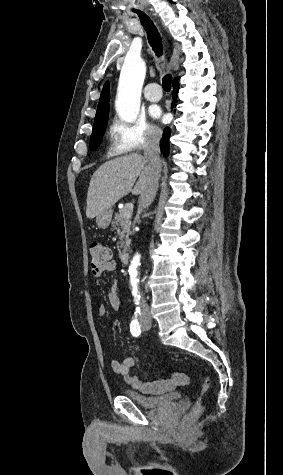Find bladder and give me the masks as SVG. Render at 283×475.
Returning <instances> with one entry per match:
<instances>
[{
    "instance_id": "obj_1",
    "label": "bladder",
    "mask_w": 283,
    "mask_h": 475,
    "mask_svg": "<svg viewBox=\"0 0 283 475\" xmlns=\"http://www.w3.org/2000/svg\"><path fill=\"white\" fill-rule=\"evenodd\" d=\"M125 395L133 403L138 404L141 408L146 410H153L162 405L177 406L181 398V394L176 392H168L163 394L161 397H150L145 396L134 389H126Z\"/></svg>"
}]
</instances>
